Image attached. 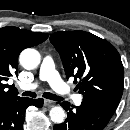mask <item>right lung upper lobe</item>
<instances>
[{"label":"right lung upper lobe","mask_w":130,"mask_h":130,"mask_svg":"<svg viewBox=\"0 0 130 130\" xmlns=\"http://www.w3.org/2000/svg\"><path fill=\"white\" fill-rule=\"evenodd\" d=\"M47 38V33H34L18 27L0 28V100L18 97L17 89L6 84V81L14 74L17 75L20 52Z\"/></svg>","instance_id":"cb5924a9"}]
</instances>
